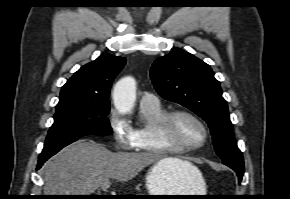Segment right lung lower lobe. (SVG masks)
Instances as JSON below:
<instances>
[{
	"mask_svg": "<svg viewBox=\"0 0 290 199\" xmlns=\"http://www.w3.org/2000/svg\"><path fill=\"white\" fill-rule=\"evenodd\" d=\"M59 150H61V149H59ZM59 150L41 153L39 155L37 169H40V167L43 165V163L45 161H47L51 156H53L54 154H56Z\"/></svg>",
	"mask_w": 290,
	"mask_h": 199,
	"instance_id": "obj_1",
	"label": "right lung lower lobe"
}]
</instances>
